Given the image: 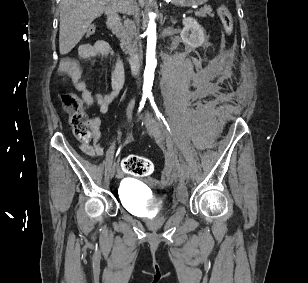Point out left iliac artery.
I'll return each instance as SVG.
<instances>
[{"label": "left iliac artery", "mask_w": 308, "mask_h": 283, "mask_svg": "<svg viewBox=\"0 0 308 283\" xmlns=\"http://www.w3.org/2000/svg\"><path fill=\"white\" fill-rule=\"evenodd\" d=\"M147 97L149 98L151 105L153 106V108L155 109L156 112V116L157 119L159 120L160 124L162 125V127L164 128L166 134L170 133L171 137L174 138V132L173 129L169 126L168 122L166 121V119L162 116V114L158 111V109L155 106L154 100H153V96L151 94V92L146 93ZM169 135V134H168Z\"/></svg>", "instance_id": "44dca946"}]
</instances>
